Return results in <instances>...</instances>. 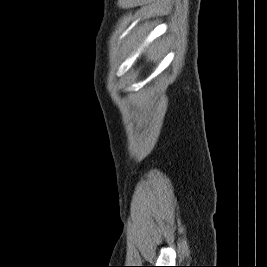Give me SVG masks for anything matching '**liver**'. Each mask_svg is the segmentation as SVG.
Segmentation results:
<instances>
[{
	"label": "liver",
	"mask_w": 267,
	"mask_h": 267,
	"mask_svg": "<svg viewBox=\"0 0 267 267\" xmlns=\"http://www.w3.org/2000/svg\"><path fill=\"white\" fill-rule=\"evenodd\" d=\"M160 50V48H159V45L156 43L155 45H153L150 49H149V51L150 52H157V51H159Z\"/></svg>",
	"instance_id": "liver-1"
}]
</instances>
